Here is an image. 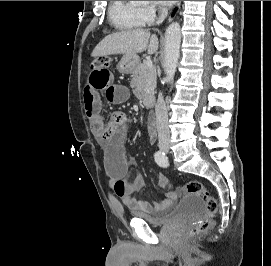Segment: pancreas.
<instances>
[{"mask_svg":"<svg viewBox=\"0 0 271 266\" xmlns=\"http://www.w3.org/2000/svg\"><path fill=\"white\" fill-rule=\"evenodd\" d=\"M146 63L144 60L138 64L132 74L131 87L139 99L154 93L156 88V69L153 66L148 67Z\"/></svg>","mask_w":271,"mask_h":266,"instance_id":"cf45deb5","label":"pancreas"}]
</instances>
